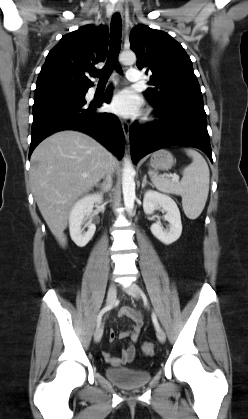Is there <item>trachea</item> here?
Returning a JSON list of instances; mask_svg holds the SVG:
<instances>
[{"instance_id":"3493384b","label":"trachea","mask_w":248,"mask_h":419,"mask_svg":"<svg viewBox=\"0 0 248 419\" xmlns=\"http://www.w3.org/2000/svg\"><path fill=\"white\" fill-rule=\"evenodd\" d=\"M121 37H122V21L118 13L114 14L111 20L110 27V46L108 58L105 66L94 73L95 77L99 78V82H107L113 69L121 72V67L118 63V55L121 48Z\"/></svg>"}]
</instances>
